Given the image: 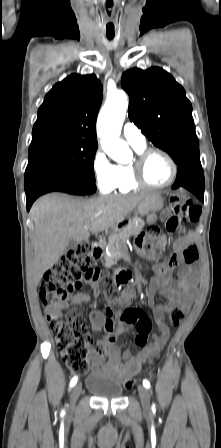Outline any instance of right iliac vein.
Returning <instances> with one entry per match:
<instances>
[{"label":"right iliac vein","instance_id":"63e3f726","mask_svg":"<svg viewBox=\"0 0 221 448\" xmlns=\"http://www.w3.org/2000/svg\"><path fill=\"white\" fill-rule=\"evenodd\" d=\"M82 386L80 383L76 384L71 393V406L72 408L75 406L80 394H81Z\"/></svg>","mask_w":221,"mask_h":448}]
</instances>
